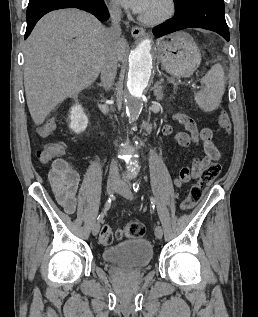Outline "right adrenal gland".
<instances>
[{
	"mask_svg": "<svg viewBox=\"0 0 258 317\" xmlns=\"http://www.w3.org/2000/svg\"><path fill=\"white\" fill-rule=\"evenodd\" d=\"M98 86H104L103 82H98Z\"/></svg>",
	"mask_w": 258,
	"mask_h": 317,
	"instance_id": "right-adrenal-gland-1",
	"label": "right adrenal gland"
}]
</instances>
